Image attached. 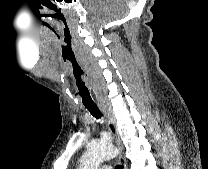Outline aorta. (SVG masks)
<instances>
[{
  "mask_svg": "<svg viewBox=\"0 0 208 169\" xmlns=\"http://www.w3.org/2000/svg\"><path fill=\"white\" fill-rule=\"evenodd\" d=\"M117 155V149L110 143L98 142L91 145L80 159L79 169H98L100 164Z\"/></svg>",
  "mask_w": 208,
  "mask_h": 169,
  "instance_id": "obj_1",
  "label": "aorta"
}]
</instances>
